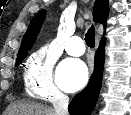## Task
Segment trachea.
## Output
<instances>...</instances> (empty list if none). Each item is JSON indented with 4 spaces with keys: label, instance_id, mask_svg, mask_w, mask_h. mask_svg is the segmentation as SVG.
<instances>
[{
    "label": "trachea",
    "instance_id": "3493384b",
    "mask_svg": "<svg viewBox=\"0 0 131 115\" xmlns=\"http://www.w3.org/2000/svg\"><path fill=\"white\" fill-rule=\"evenodd\" d=\"M86 44L93 48L95 46V28L91 26L85 35Z\"/></svg>",
    "mask_w": 131,
    "mask_h": 115
}]
</instances>
